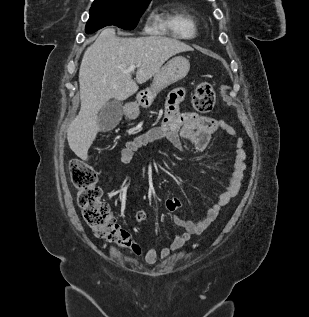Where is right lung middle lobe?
Returning a JSON list of instances; mask_svg holds the SVG:
<instances>
[{
  "mask_svg": "<svg viewBox=\"0 0 309 317\" xmlns=\"http://www.w3.org/2000/svg\"><path fill=\"white\" fill-rule=\"evenodd\" d=\"M151 0H95L85 31L90 34L105 26L115 25L133 30Z\"/></svg>",
  "mask_w": 309,
  "mask_h": 317,
  "instance_id": "1",
  "label": "right lung middle lobe"
}]
</instances>
